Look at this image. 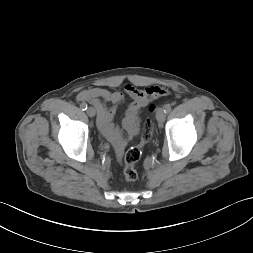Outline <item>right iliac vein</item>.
Returning a JSON list of instances; mask_svg holds the SVG:
<instances>
[{
	"label": "right iliac vein",
	"instance_id": "right-iliac-vein-1",
	"mask_svg": "<svg viewBox=\"0 0 253 253\" xmlns=\"http://www.w3.org/2000/svg\"><path fill=\"white\" fill-rule=\"evenodd\" d=\"M86 112L90 117H94L96 114V111L93 107H89Z\"/></svg>",
	"mask_w": 253,
	"mask_h": 253
}]
</instances>
